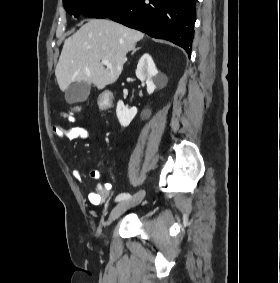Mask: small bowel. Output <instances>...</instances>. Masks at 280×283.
Instances as JSON below:
<instances>
[{
    "mask_svg": "<svg viewBox=\"0 0 280 283\" xmlns=\"http://www.w3.org/2000/svg\"><path fill=\"white\" fill-rule=\"evenodd\" d=\"M61 115L68 120L73 119L72 111H62ZM52 133L56 138H66L71 141L75 140H85L88 137V132L85 128L81 126H72L69 128H63L60 125H54L52 128ZM73 177L81 178V172L79 169L74 168L71 171ZM88 176L92 180H99L101 178V172L99 170H90ZM113 186L111 182L97 183L95 190L91 192L88 199L91 204L95 206L101 205L106 198L109 196Z\"/></svg>",
    "mask_w": 280,
    "mask_h": 283,
    "instance_id": "c3829d8e",
    "label": "small bowel"
}]
</instances>
